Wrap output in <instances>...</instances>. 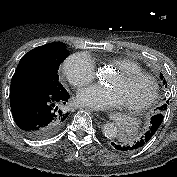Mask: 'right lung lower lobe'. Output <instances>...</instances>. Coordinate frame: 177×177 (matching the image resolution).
<instances>
[{
	"label": "right lung lower lobe",
	"mask_w": 177,
	"mask_h": 177,
	"mask_svg": "<svg viewBox=\"0 0 177 177\" xmlns=\"http://www.w3.org/2000/svg\"><path fill=\"white\" fill-rule=\"evenodd\" d=\"M69 93L31 85L10 87L12 116L21 131L32 139L57 134L67 121L64 105Z\"/></svg>",
	"instance_id": "1"
}]
</instances>
